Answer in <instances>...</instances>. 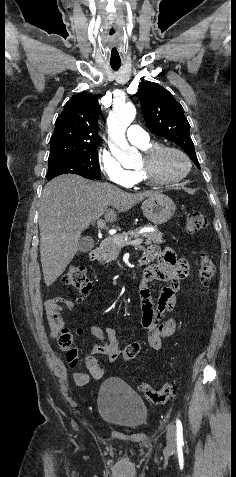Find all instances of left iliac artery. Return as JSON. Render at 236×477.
<instances>
[{"instance_id": "1", "label": "left iliac artery", "mask_w": 236, "mask_h": 477, "mask_svg": "<svg viewBox=\"0 0 236 477\" xmlns=\"http://www.w3.org/2000/svg\"><path fill=\"white\" fill-rule=\"evenodd\" d=\"M176 428H177V443L183 444V426L179 419L176 420Z\"/></svg>"}]
</instances>
